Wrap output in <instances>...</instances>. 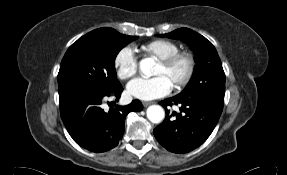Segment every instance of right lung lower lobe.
<instances>
[{"instance_id": "right-lung-lower-lobe-1", "label": "right lung lower lobe", "mask_w": 287, "mask_h": 175, "mask_svg": "<svg viewBox=\"0 0 287 175\" xmlns=\"http://www.w3.org/2000/svg\"><path fill=\"white\" fill-rule=\"evenodd\" d=\"M122 91L121 86L111 93L73 90L59 95L61 118L78 145L95 153L117 146L124 134L126 115L143 108L139 100H133L127 106H116L105 112L102 103L106 98L112 96L118 101Z\"/></svg>"}]
</instances>
